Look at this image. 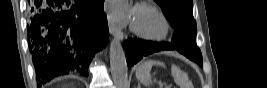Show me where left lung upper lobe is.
Instances as JSON below:
<instances>
[{
  "label": "left lung upper lobe",
  "instance_id": "obj_1",
  "mask_svg": "<svg viewBox=\"0 0 267 88\" xmlns=\"http://www.w3.org/2000/svg\"><path fill=\"white\" fill-rule=\"evenodd\" d=\"M163 10L176 33L186 32L195 35L196 21L193 17L192 0H155Z\"/></svg>",
  "mask_w": 267,
  "mask_h": 88
}]
</instances>
